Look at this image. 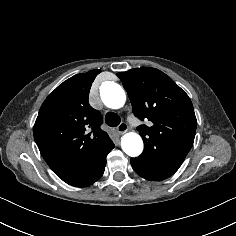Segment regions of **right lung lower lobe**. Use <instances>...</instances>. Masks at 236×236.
<instances>
[{
    "instance_id": "right-lung-lower-lobe-1",
    "label": "right lung lower lobe",
    "mask_w": 236,
    "mask_h": 236,
    "mask_svg": "<svg viewBox=\"0 0 236 236\" xmlns=\"http://www.w3.org/2000/svg\"><path fill=\"white\" fill-rule=\"evenodd\" d=\"M113 148L114 144L97 158L91 166L83 169L61 172L58 173L57 176L72 186L85 187L91 185L103 175L106 165V156Z\"/></svg>"
}]
</instances>
